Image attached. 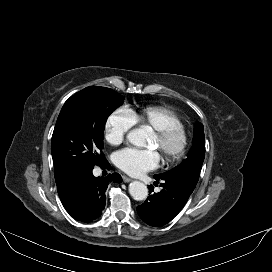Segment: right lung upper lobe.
Wrapping results in <instances>:
<instances>
[{"instance_id": "1", "label": "right lung upper lobe", "mask_w": 272, "mask_h": 272, "mask_svg": "<svg viewBox=\"0 0 272 272\" xmlns=\"http://www.w3.org/2000/svg\"><path fill=\"white\" fill-rule=\"evenodd\" d=\"M55 168V181L57 184L58 194L63 192L74 180V178L64 177L60 168L57 165H54Z\"/></svg>"}]
</instances>
